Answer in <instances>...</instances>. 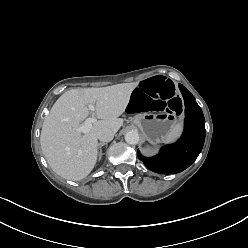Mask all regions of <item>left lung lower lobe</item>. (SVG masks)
<instances>
[{
	"mask_svg": "<svg viewBox=\"0 0 248 248\" xmlns=\"http://www.w3.org/2000/svg\"><path fill=\"white\" fill-rule=\"evenodd\" d=\"M180 91L185 102V125L181 138L164 146L158 155L138 158L144 165L159 174L179 173L188 168L198 157L205 140V119L193 95L181 84Z\"/></svg>",
	"mask_w": 248,
	"mask_h": 248,
	"instance_id": "obj_1",
	"label": "left lung lower lobe"
}]
</instances>
